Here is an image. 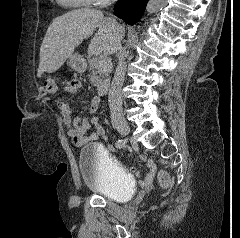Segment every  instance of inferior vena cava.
<instances>
[{
	"mask_svg": "<svg viewBox=\"0 0 240 238\" xmlns=\"http://www.w3.org/2000/svg\"><path fill=\"white\" fill-rule=\"evenodd\" d=\"M126 52L122 51L119 55V62L116 67L114 78L109 90L108 100L112 119H119L122 117V97L121 89L124 82L126 71Z\"/></svg>",
	"mask_w": 240,
	"mask_h": 238,
	"instance_id": "602c4592",
	"label": "inferior vena cava"
}]
</instances>
